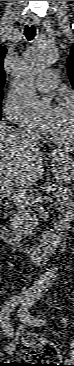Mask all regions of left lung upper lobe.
I'll return each mask as SVG.
<instances>
[{
  "label": "left lung upper lobe",
  "mask_w": 74,
  "mask_h": 366,
  "mask_svg": "<svg viewBox=\"0 0 74 366\" xmlns=\"http://www.w3.org/2000/svg\"><path fill=\"white\" fill-rule=\"evenodd\" d=\"M68 72H69V78L72 83V86L74 87V47L70 50V56L68 58Z\"/></svg>",
  "instance_id": "left-lung-upper-lobe-1"
}]
</instances>
